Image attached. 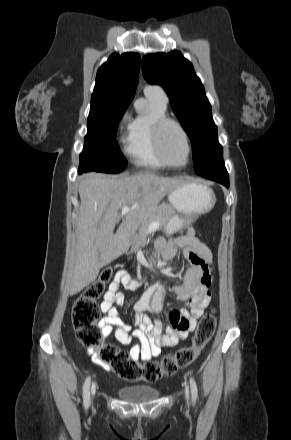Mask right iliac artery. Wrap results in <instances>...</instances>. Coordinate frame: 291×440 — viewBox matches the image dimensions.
<instances>
[{
    "label": "right iliac artery",
    "mask_w": 291,
    "mask_h": 440,
    "mask_svg": "<svg viewBox=\"0 0 291 440\" xmlns=\"http://www.w3.org/2000/svg\"><path fill=\"white\" fill-rule=\"evenodd\" d=\"M90 382H91V378L90 376H88L83 385V398H84L85 408H88L90 404Z\"/></svg>",
    "instance_id": "1"
}]
</instances>
